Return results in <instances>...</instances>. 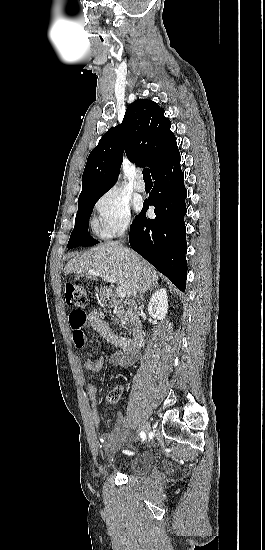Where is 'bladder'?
I'll return each mask as SVG.
<instances>
[{
    "label": "bladder",
    "mask_w": 265,
    "mask_h": 550,
    "mask_svg": "<svg viewBox=\"0 0 265 550\" xmlns=\"http://www.w3.org/2000/svg\"><path fill=\"white\" fill-rule=\"evenodd\" d=\"M125 456L127 457V469L134 473L149 472L154 465L153 458L148 451H143L138 454L129 452Z\"/></svg>",
    "instance_id": "1"
}]
</instances>
